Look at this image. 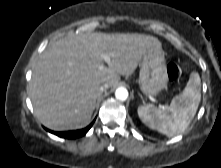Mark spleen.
Returning a JSON list of instances; mask_svg holds the SVG:
<instances>
[{
	"mask_svg": "<svg viewBox=\"0 0 221 168\" xmlns=\"http://www.w3.org/2000/svg\"><path fill=\"white\" fill-rule=\"evenodd\" d=\"M200 90V76L192 72L183 92L172 99L168 108L144 105L138 108V116L153 130L170 137L178 135L185 131L196 114L201 100Z\"/></svg>",
	"mask_w": 221,
	"mask_h": 168,
	"instance_id": "spleen-1",
	"label": "spleen"
}]
</instances>
